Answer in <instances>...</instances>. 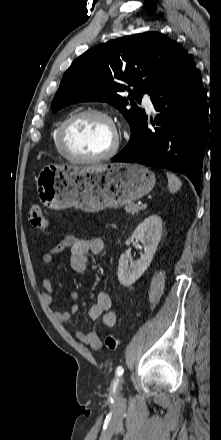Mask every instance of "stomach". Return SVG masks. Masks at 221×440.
Returning a JSON list of instances; mask_svg holds the SVG:
<instances>
[{
	"instance_id": "obj_1",
	"label": "stomach",
	"mask_w": 221,
	"mask_h": 440,
	"mask_svg": "<svg viewBox=\"0 0 221 440\" xmlns=\"http://www.w3.org/2000/svg\"><path fill=\"white\" fill-rule=\"evenodd\" d=\"M40 202L50 209L87 212L116 208L147 195L155 185L148 168L129 163L48 165L36 179Z\"/></svg>"
}]
</instances>
